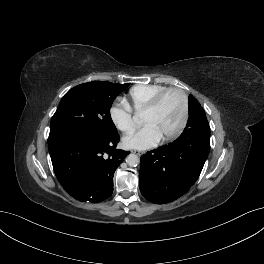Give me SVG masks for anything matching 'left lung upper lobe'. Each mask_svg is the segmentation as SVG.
<instances>
[{"label": "left lung upper lobe", "mask_w": 264, "mask_h": 264, "mask_svg": "<svg viewBox=\"0 0 264 264\" xmlns=\"http://www.w3.org/2000/svg\"><path fill=\"white\" fill-rule=\"evenodd\" d=\"M188 101H189V119L185 129L192 127L199 128L204 124H208L205 111L202 108V106L199 104V102L192 95H189Z\"/></svg>", "instance_id": "obj_1"}]
</instances>
